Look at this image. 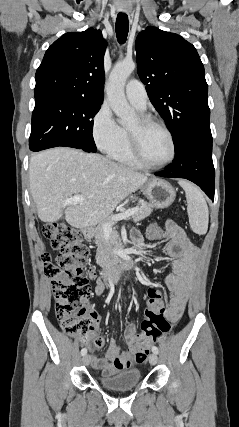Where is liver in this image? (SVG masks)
<instances>
[{
  "label": "liver",
  "mask_w": 239,
  "mask_h": 427,
  "mask_svg": "<svg viewBox=\"0 0 239 427\" xmlns=\"http://www.w3.org/2000/svg\"><path fill=\"white\" fill-rule=\"evenodd\" d=\"M148 177L97 153L53 148L30 159V192L41 221L52 223L63 214L75 228H89L108 219L116 206L137 191ZM73 195L85 200L65 205Z\"/></svg>",
  "instance_id": "obj_1"
}]
</instances>
